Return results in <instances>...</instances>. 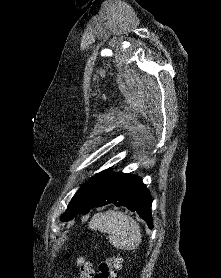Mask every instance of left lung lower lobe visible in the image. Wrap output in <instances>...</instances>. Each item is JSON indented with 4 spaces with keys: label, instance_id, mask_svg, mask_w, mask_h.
<instances>
[{
    "label": "left lung lower lobe",
    "instance_id": "obj_1",
    "mask_svg": "<svg viewBox=\"0 0 221 278\" xmlns=\"http://www.w3.org/2000/svg\"><path fill=\"white\" fill-rule=\"evenodd\" d=\"M114 204L124 206L146 221L153 228L152 197L142 179L130 174L114 173L110 169L95 175L87 185L71 214L63 221H69L78 214H86L92 208Z\"/></svg>",
    "mask_w": 221,
    "mask_h": 278
}]
</instances>
